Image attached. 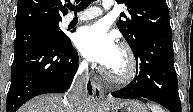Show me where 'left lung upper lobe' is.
<instances>
[{
	"label": "left lung upper lobe",
	"mask_w": 193,
	"mask_h": 112,
	"mask_svg": "<svg viewBox=\"0 0 193 112\" xmlns=\"http://www.w3.org/2000/svg\"><path fill=\"white\" fill-rule=\"evenodd\" d=\"M128 9L121 13L117 27L132 50H136L149 36L171 30L166 0H116Z\"/></svg>",
	"instance_id": "5c2ea615"
}]
</instances>
